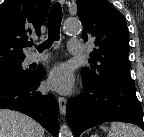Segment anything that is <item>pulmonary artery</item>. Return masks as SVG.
<instances>
[{"instance_id":"pulmonary-artery-1","label":"pulmonary artery","mask_w":144,"mask_h":137,"mask_svg":"<svg viewBox=\"0 0 144 137\" xmlns=\"http://www.w3.org/2000/svg\"><path fill=\"white\" fill-rule=\"evenodd\" d=\"M68 50L71 54H80L83 50V44L80 40L70 39L68 41ZM47 58H48L47 53L43 54L32 53L28 56V61L40 62L46 60Z\"/></svg>"}]
</instances>
